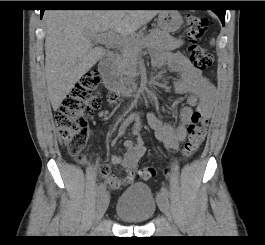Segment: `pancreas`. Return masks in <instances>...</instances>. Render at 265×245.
<instances>
[{"label": "pancreas", "mask_w": 265, "mask_h": 245, "mask_svg": "<svg viewBox=\"0 0 265 245\" xmlns=\"http://www.w3.org/2000/svg\"><path fill=\"white\" fill-rule=\"evenodd\" d=\"M144 40L146 41L144 46L161 51L174 50L183 45L182 40L175 39L159 29H152L150 30L149 35L143 38L133 39L130 43L124 44L122 55L119 62L117 63V67L120 72L126 75L128 78H132L137 75L139 51Z\"/></svg>", "instance_id": "cf45deb5"}]
</instances>
